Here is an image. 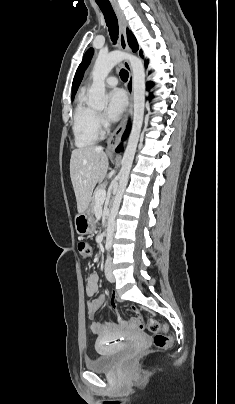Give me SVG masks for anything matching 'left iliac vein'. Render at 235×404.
Instances as JSON below:
<instances>
[{"label":"left iliac vein","instance_id":"4c4485c4","mask_svg":"<svg viewBox=\"0 0 235 404\" xmlns=\"http://www.w3.org/2000/svg\"><path fill=\"white\" fill-rule=\"evenodd\" d=\"M112 270H113L112 258H111V256H108L106 263H105V276H106L107 280L111 283L115 282V277H114Z\"/></svg>","mask_w":235,"mask_h":404}]
</instances>
